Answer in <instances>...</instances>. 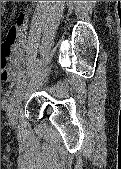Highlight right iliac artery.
<instances>
[{
  "label": "right iliac artery",
  "mask_w": 121,
  "mask_h": 169,
  "mask_svg": "<svg viewBox=\"0 0 121 169\" xmlns=\"http://www.w3.org/2000/svg\"><path fill=\"white\" fill-rule=\"evenodd\" d=\"M25 73H22L17 79H16V81H17V84H21L22 82H24V80H25Z\"/></svg>",
  "instance_id": "obj_1"
}]
</instances>
